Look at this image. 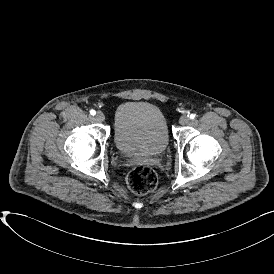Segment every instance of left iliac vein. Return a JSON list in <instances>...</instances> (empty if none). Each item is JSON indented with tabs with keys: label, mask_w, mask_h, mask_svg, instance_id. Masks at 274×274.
<instances>
[{
	"label": "left iliac vein",
	"mask_w": 274,
	"mask_h": 274,
	"mask_svg": "<svg viewBox=\"0 0 274 274\" xmlns=\"http://www.w3.org/2000/svg\"><path fill=\"white\" fill-rule=\"evenodd\" d=\"M189 121H190V118L186 115L181 116L179 119V123L181 125H187L189 123Z\"/></svg>",
	"instance_id": "obj_1"
}]
</instances>
